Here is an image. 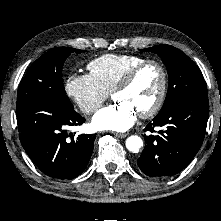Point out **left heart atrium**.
Listing matches in <instances>:
<instances>
[{
	"mask_svg": "<svg viewBox=\"0 0 221 221\" xmlns=\"http://www.w3.org/2000/svg\"><path fill=\"white\" fill-rule=\"evenodd\" d=\"M136 119L137 112L131 105L116 101L99 110L92 118V125L98 130L126 131Z\"/></svg>",
	"mask_w": 221,
	"mask_h": 221,
	"instance_id": "1",
	"label": "left heart atrium"
}]
</instances>
